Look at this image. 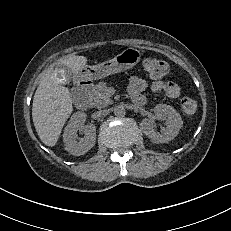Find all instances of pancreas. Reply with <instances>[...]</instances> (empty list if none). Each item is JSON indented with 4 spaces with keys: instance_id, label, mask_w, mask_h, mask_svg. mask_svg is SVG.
Wrapping results in <instances>:
<instances>
[{
    "instance_id": "1",
    "label": "pancreas",
    "mask_w": 231,
    "mask_h": 231,
    "mask_svg": "<svg viewBox=\"0 0 231 231\" xmlns=\"http://www.w3.org/2000/svg\"><path fill=\"white\" fill-rule=\"evenodd\" d=\"M111 94L108 93V87L106 82H99L91 94V103L97 108L106 107L112 104Z\"/></svg>"
}]
</instances>
